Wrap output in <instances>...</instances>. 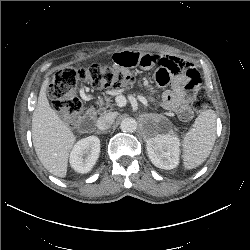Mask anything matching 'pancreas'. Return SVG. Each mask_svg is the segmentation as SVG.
Returning <instances> with one entry per match:
<instances>
[{
	"instance_id": "obj_1",
	"label": "pancreas",
	"mask_w": 250,
	"mask_h": 250,
	"mask_svg": "<svg viewBox=\"0 0 250 250\" xmlns=\"http://www.w3.org/2000/svg\"><path fill=\"white\" fill-rule=\"evenodd\" d=\"M111 97H108V96H105L104 99H99L97 101V105L99 106V110L98 112H101V111H106L107 108L109 107H112V104H111Z\"/></svg>"
}]
</instances>
